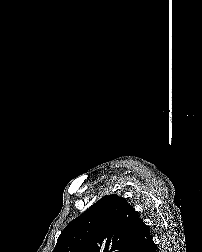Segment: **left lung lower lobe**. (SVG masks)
I'll use <instances>...</instances> for the list:
<instances>
[{
    "label": "left lung lower lobe",
    "instance_id": "obj_1",
    "mask_svg": "<svg viewBox=\"0 0 202 252\" xmlns=\"http://www.w3.org/2000/svg\"><path fill=\"white\" fill-rule=\"evenodd\" d=\"M132 252H158L157 246L152 240L149 228L145 225L143 220L138 226L136 241Z\"/></svg>",
    "mask_w": 202,
    "mask_h": 252
}]
</instances>
